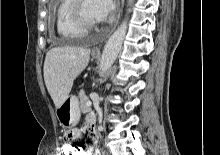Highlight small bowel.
<instances>
[{
	"mask_svg": "<svg viewBox=\"0 0 220 155\" xmlns=\"http://www.w3.org/2000/svg\"><path fill=\"white\" fill-rule=\"evenodd\" d=\"M95 120L94 115L90 114L87 117V124L90 125L91 121ZM63 141H78L80 130H77L75 126H64L63 130ZM64 146H72V145H64ZM81 155H90V152L87 150L82 151Z\"/></svg>",
	"mask_w": 220,
	"mask_h": 155,
	"instance_id": "small-bowel-1",
	"label": "small bowel"
}]
</instances>
